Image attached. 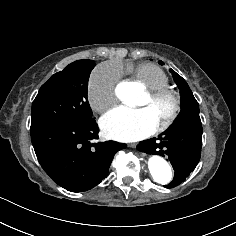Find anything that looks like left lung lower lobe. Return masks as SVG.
I'll list each match as a JSON object with an SVG mask.
<instances>
[{"instance_id": "left-lung-lower-lobe-1", "label": "left lung lower lobe", "mask_w": 236, "mask_h": 236, "mask_svg": "<svg viewBox=\"0 0 236 236\" xmlns=\"http://www.w3.org/2000/svg\"><path fill=\"white\" fill-rule=\"evenodd\" d=\"M202 132L201 125L172 124L158 139L142 141L137 149L147 154L167 156L175 173L172 182L165 187H176L189 176L200 160Z\"/></svg>"}]
</instances>
